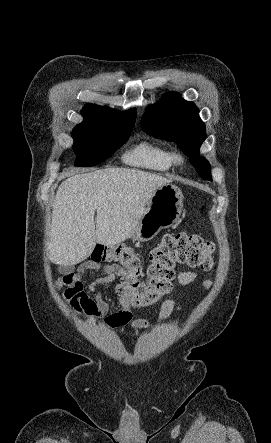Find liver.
<instances>
[{
    "label": "liver",
    "mask_w": 271,
    "mask_h": 443,
    "mask_svg": "<svg viewBox=\"0 0 271 443\" xmlns=\"http://www.w3.org/2000/svg\"><path fill=\"white\" fill-rule=\"evenodd\" d=\"M53 204L49 259L75 265L96 243L115 245L131 237L154 190L171 180L149 172L112 168L66 174ZM96 212V222H95Z\"/></svg>",
    "instance_id": "liver-1"
}]
</instances>
